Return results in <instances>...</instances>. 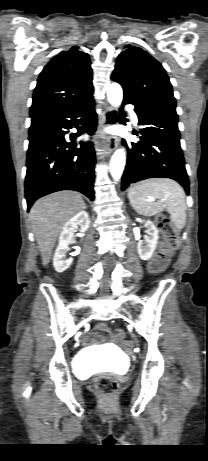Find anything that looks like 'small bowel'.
<instances>
[{"label":"small bowel","instance_id":"small-bowel-1","mask_svg":"<svg viewBox=\"0 0 208 461\" xmlns=\"http://www.w3.org/2000/svg\"><path fill=\"white\" fill-rule=\"evenodd\" d=\"M150 269L151 271H155L154 269L151 268V264H150ZM97 330L98 332L94 335V337L96 339H104V336H106L107 334H104L108 331V327L105 325V324H99L97 326Z\"/></svg>","mask_w":208,"mask_h":461}]
</instances>
